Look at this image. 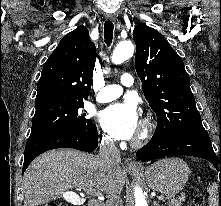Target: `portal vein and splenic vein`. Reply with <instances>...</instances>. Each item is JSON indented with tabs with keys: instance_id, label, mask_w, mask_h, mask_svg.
<instances>
[{
	"instance_id": "portal-vein-and-splenic-vein-1",
	"label": "portal vein and splenic vein",
	"mask_w": 221,
	"mask_h": 206,
	"mask_svg": "<svg viewBox=\"0 0 221 206\" xmlns=\"http://www.w3.org/2000/svg\"><path fill=\"white\" fill-rule=\"evenodd\" d=\"M87 193L91 196L98 197L99 199H103L101 192H99L95 189H90V190L87 191ZM158 199L159 200H164V196H159ZM71 202H72V200H71ZM74 202H76V201L74 200Z\"/></svg>"
}]
</instances>
